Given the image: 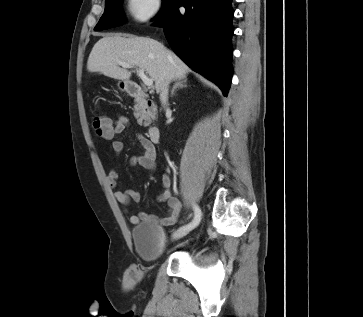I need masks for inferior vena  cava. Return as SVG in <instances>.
<instances>
[{
  "label": "inferior vena cava",
  "mask_w": 363,
  "mask_h": 317,
  "mask_svg": "<svg viewBox=\"0 0 363 317\" xmlns=\"http://www.w3.org/2000/svg\"><path fill=\"white\" fill-rule=\"evenodd\" d=\"M170 80H171V78L167 77L163 81L161 89H160V100H161V103L164 105V107L168 101V88H169Z\"/></svg>",
  "instance_id": "obj_1"
}]
</instances>
